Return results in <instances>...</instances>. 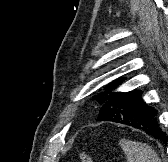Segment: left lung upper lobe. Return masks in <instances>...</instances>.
<instances>
[{
    "mask_svg": "<svg viewBox=\"0 0 168 162\" xmlns=\"http://www.w3.org/2000/svg\"><path fill=\"white\" fill-rule=\"evenodd\" d=\"M122 82V79H117L115 80L114 82L110 83L108 86H107V89L104 93L102 94H99V95H95L94 97L96 98V100L98 101V103L100 105H102V108L99 112V117H98V120L101 118L102 116V112H103V108L105 106V104L107 103L109 97L113 94H110L109 96L107 95L108 93L111 92L112 89H114L115 87H117L120 83Z\"/></svg>",
    "mask_w": 168,
    "mask_h": 162,
    "instance_id": "5c2ea615",
    "label": "left lung upper lobe"
}]
</instances>
